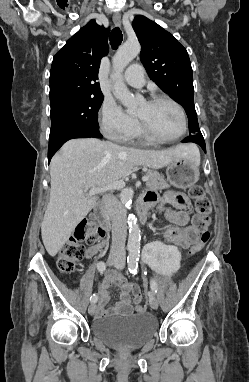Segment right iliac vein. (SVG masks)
Wrapping results in <instances>:
<instances>
[{
    "instance_id": "1",
    "label": "right iliac vein",
    "mask_w": 249,
    "mask_h": 382,
    "mask_svg": "<svg viewBox=\"0 0 249 382\" xmlns=\"http://www.w3.org/2000/svg\"><path fill=\"white\" fill-rule=\"evenodd\" d=\"M119 260H120V257H118V256H109L107 259V264L109 266H112V265L116 264L117 262H119ZM96 309H97L96 304L92 303V304H90V306L88 308V313L90 315H94L96 312Z\"/></svg>"
}]
</instances>
